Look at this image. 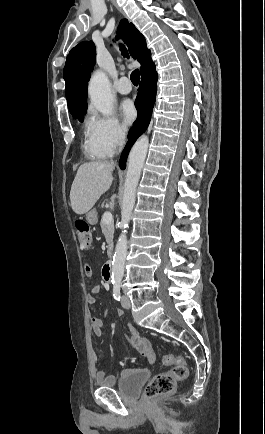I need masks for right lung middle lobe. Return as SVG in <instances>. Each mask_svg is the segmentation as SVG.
Returning a JSON list of instances; mask_svg holds the SVG:
<instances>
[{
  "instance_id": "1",
  "label": "right lung middle lobe",
  "mask_w": 265,
  "mask_h": 434,
  "mask_svg": "<svg viewBox=\"0 0 265 434\" xmlns=\"http://www.w3.org/2000/svg\"><path fill=\"white\" fill-rule=\"evenodd\" d=\"M70 113L72 114L74 119L79 120L80 122L83 121L84 115L87 110V101H77L71 104H68Z\"/></svg>"
}]
</instances>
